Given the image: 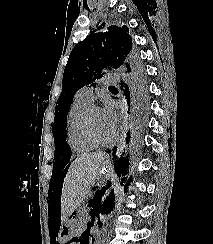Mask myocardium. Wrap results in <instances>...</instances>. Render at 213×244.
Wrapping results in <instances>:
<instances>
[{
    "label": "myocardium",
    "instance_id": "f54148a6",
    "mask_svg": "<svg viewBox=\"0 0 213 244\" xmlns=\"http://www.w3.org/2000/svg\"><path fill=\"white\" fill-rule=\"evenodd\" d=\"M93 109H100V107L92 103L87 108V110L85 111L84 116H83V130H84L86 137L88 138L89 141H91L93 144H95L97 146H106V145L113 143V141L116 139V136H117V132L115 129L113 130L112 135L108 139H105V140L99 139L93 133L91 124H90V114Z\"/></svg>",
    "mask_w": 213,
    "mask_h": 244
}]
</instances>
